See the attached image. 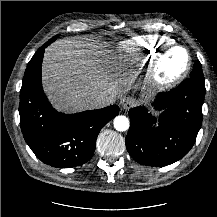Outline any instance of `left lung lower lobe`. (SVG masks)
Wrapping results in <instances>:
<instances>
[{"label": "left lung lower lobe", "instance_id": "0a47b994", "mask_svg": "<svg viewBox=\"0 0 217 217\" xmlns=\"http://www.w3.org/2000/svg\"><path fill=\"white\" fill-rule=\"evenodd\" d=\"M204 97L205 87L189 78L157 96L154 107L163 111L158 121L144 107L130 109L125 143L131 157L148 166H166L184 157L201 128Z\"/></svg>", "mask_w": 217, "mask_h": 217}]
</instances>
